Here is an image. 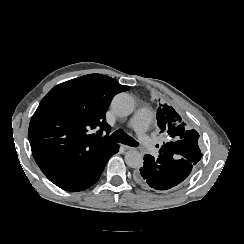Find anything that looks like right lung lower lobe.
Masks as SVG:
<instances>
[{"label":"right lung lower lobe","instance_id":"1","mask_svg":"<svg viewBox=\"0 0 244 244\" xmlns=\"http://www.w3.org/2000/svg\"><path fill=\"white\" fill-rule=\"evenodd\" d=\"M118 151L119 145L113 143L106 148L84 153L43 173L64 190L82 191L99 179L109 158Z\"/></svg>","mask_w":244,"mask_h":244}]
</instances>
